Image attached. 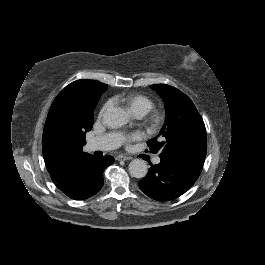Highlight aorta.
Returning <instances> with one entry per match:
<instances>
[{
    "label": "aorta",
    "instance_id": "1",
    "mask_svg": "<svg viewBox=\"0 0 265 265\" xmlns=\"http://www.w3.org/2000/svg\"><path fill=\"white\" fill-rule=\"evenodd\" d=\"M103 122L110 128H119L128 122L126 112L122 108H109L103 115ZM147 164L142 159H134L129 164L132 177L143 178L147 174Z\"/></svg>",
    "mask_w": 265,
    "mask_h": 265
}]
</instances>
